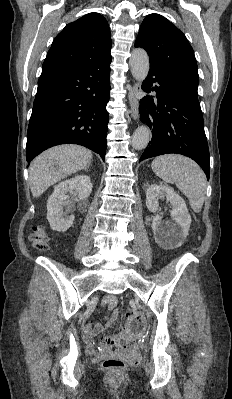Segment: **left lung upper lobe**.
Instances as JSON below:
<instances>
[{"mask_svg":"<svg viewBox=\"0 0 232 399\" xmlns=\"http://www.w3.org/2000/svg\"><path fill=\"white\" fill-rule=\"evenodd\" d=\"M135 47L145 49L150 68L163 74L192 105L201 110L194 51L177 27L159 14H150L141 24Z\"/></svg>","mask_w":232,"mask_h":399,"instance_id":"1","label":"left lung upper lobe"}]
</instances>
